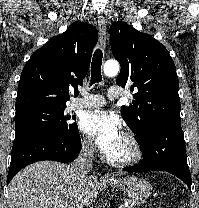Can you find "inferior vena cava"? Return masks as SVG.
<instances>
[{
    "label": "inferior vena cava",
    "instance_id": "obj_1",
    "mask_svg": "<svg viewBox=\"0 0 199 208\" xmlns=\"http://www.w3.org/2000/svg\"><path fill=\"white\" fill-rule=\"evenodd\" d=\"M94 147L91 143L86 142L83 146L79 156L71 165L72 169L79 175L85 176L93 166ZM82 208V207H80Z\"/></svg>",
    "mask_w": 199,
    "mask_h": 208
}]
</instances>
